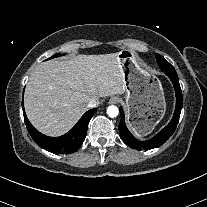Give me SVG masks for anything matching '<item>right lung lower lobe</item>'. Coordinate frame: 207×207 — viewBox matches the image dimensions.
<instances>
[{
	"mask_svg": "<svg viewBox=\"0 0 207 207\" xmlns=\"http://www.w3.org/2000/svg\"><path fill=\"white\" fill-rule=\"evenodd\" d=\"M96 111L97 108L87 111L68 133L60 137H48L43 135L29 122L24 109L23 114L28 132L37 145L52 153L68 154L78 150L83 143L86 137L88 123Z\"/></svg>",
	"mask_w": 207,
	"mask_h": 207,
	"instance_id": "98d812e1",
	"label": "right lung lower lobe"
}]
</instances>
